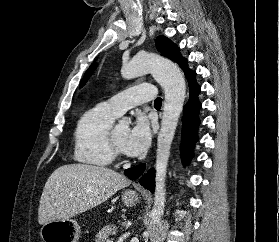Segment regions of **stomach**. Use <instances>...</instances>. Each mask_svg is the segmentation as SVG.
<instances>
[{"label":"stomach","mask_w":279,"mask_h":242,"mask_svg":"<svg viewBox=\"0 0 279 242\" xmlns=\"http://www.w3.org/2000/svg\"><path fill=\"white\" fill-rule=\"evenodd\" d=\"M140 201V196L133 190L122 194V202L127 207H133ZM79 226L73 219L55 220L44 224L40 235L43 242H78Z\"/></svg>","instance_id":"stomach-1"}]
</instances>
